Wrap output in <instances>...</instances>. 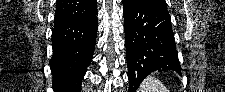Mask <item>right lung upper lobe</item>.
Returning <instances> with one entry per match:
<instances>
[{
  "label": "right lung upper lobe",
  "mask_w": 225,
  "mask_h": 92,
  "mask_svg": "<svg viewBox=\"0 0 225 92\" xmlns=\"http://www.w3.org/2000/svg\"><path fill=\"white\" fill-rule=\"evenodd\" d=\"M96 0H57L54 26L87 17L97 11Z\"/></svg>",
  "instance_id": "1"
}]
</instances>
